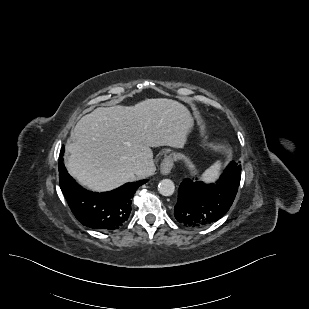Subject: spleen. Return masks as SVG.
<instances>
[{
    "label": "spleen",
    "mask_w": 309,
    "mask_h": 309,
    "mask_svg": "<svg viewBox=\"0 0 309 309\" xmlns=\"http://www.w3.org/2000/svg\"><path fill=\"white\" fill-rule=\"evenodd\" d=\"M220 168L221 163L218 161L203 173V180L206 182L213 181L217 177Z\"/></svg>",
    "instance_id": "3e777b00"
}]
</instances>
